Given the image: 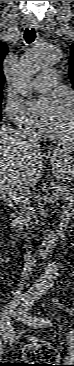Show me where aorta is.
<instances>
[{"mask_svg": "<svg viewBox=\"0 0 74 366\" xmlns=\"http://www.w3.org/2000/svg\"><path fill=\"white\" fill-rule=\"evenodd\" d=\"M61 58V49L54 44L37 42L20 61L17 88L23 95H30V82L34 76L47 67L55 66Z\"/></svg>", "mask_w": 74, "mask_h": 366, "instance_id": "obj_1", "label": "aorta"}]
</instances>
